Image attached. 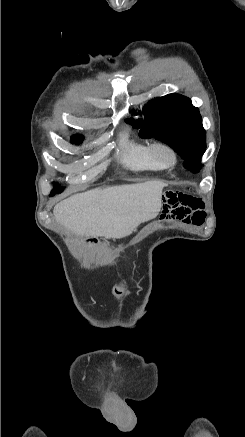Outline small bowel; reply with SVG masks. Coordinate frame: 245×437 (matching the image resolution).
<instances>
[{"instance_id":"1","label":"small bowel","mask_w":245,"mask_h":437,"mask_svg":"<svg viewBox=\"0 0 245 437\" xmlns=\"http://www.w3.org/2000/svg\"><path fill=\"white\" fill-rule=\"evenodd\" d=\"M181 191L168 192L165 196L164 208L161 209V222H173V218L186 224L201 225L205 218L204 203L184 193L188 186L182 183Z\"/></svg>"}]
</instances>
